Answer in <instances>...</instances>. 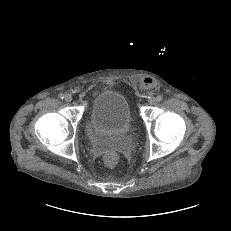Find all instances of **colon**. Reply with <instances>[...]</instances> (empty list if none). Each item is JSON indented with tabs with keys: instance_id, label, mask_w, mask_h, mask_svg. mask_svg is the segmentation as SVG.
I'll return each instance as SVG.
<instances>
[{
	"instance_id": "5ec220e1",
	"label": "colon",
	"mask_w": 231,
	"mask_h": 231,
	"mask_svg": "<svg viewBox=\"0 0 231 231\" xmlns=\"http://www.w3.org/2000/svg\"><path fill=\"white\" fill-rule=\"evenodd\" d=\"M104 161L108 166H115L119 161V155L115 151H108L104 155Z\"/></svg>"
}]
</instances>
